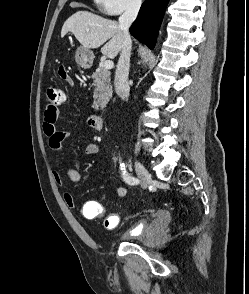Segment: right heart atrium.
<instances>
[{
  "mask_svg": "<svg viewBox=\"0 0 249 294\" xmlns=\"http://www.w3.org/2000/svg\"><path fill=\"white\" fill-rule=\"evenodd\" d=\"M99 8L107 15L115 16L126 12H135L142 0H95Z\"/></svg>",
  "mask_w": 249,
  "mask_h": 294,
  "instance_id": "obj_1",
  "label": "right heart atrium"
}]
</instances>
